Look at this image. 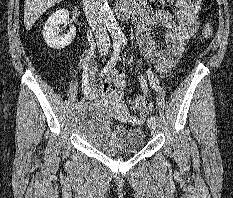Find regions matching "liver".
Returning <instances> with one entry per match:
<instances>
[{"label":"liver","mask_w":233,"mask_h":198,"mask_svg":"<svg viewBox=\"0 0 233 198\" xmlns=\"http://www.w3.org/2000/svg\"><path fill=\"white\" fill-rule=\"evenodd\" d=\"M61 1L62 0H25L24 24L26 30H30L36 20L46 12V10Z\"/></svg>","instance_id":"6515ba94"}]
</instances>
